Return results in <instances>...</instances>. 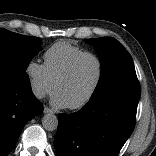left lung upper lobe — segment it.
Masks as SVG:
<instances>
[{"label": "left lung upper lobe", "mask_w": 156, "mask_h": 156, "mask_svg": "<svg viewBox=\"0 0 156 156\" xmlns=\"http://www.w3.org/2000/svg\"><path fill=\"white\" fill-rule=\"evenodd\" d=\"M87 41L95 46L101 61L100 80L90 99L110 93H128L140 97L133 60L124 46L111 37Z\"/></svg>", "instance_id": "5c2ea615"}]
</instances>
